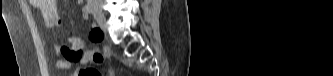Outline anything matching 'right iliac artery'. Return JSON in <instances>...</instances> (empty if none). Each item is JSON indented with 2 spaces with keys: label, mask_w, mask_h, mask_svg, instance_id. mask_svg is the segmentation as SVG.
<instances>
[{
  "label": "right iliac artery",
  "mask_w": 333,
  "mask_h": 76,
  "mask_svg": "<svg viewBox=\"0 0 333 76\" xmlns=\"http://www.w3.org/2000/svg\"><path fill=\"white\" fill-rule=\"evenodd\" d=\"M84 12H86L87 14L91 13V8L89 4L84 7Z\"/></svg>",
  "instance_id": "obj_1"
}]
</instances>
